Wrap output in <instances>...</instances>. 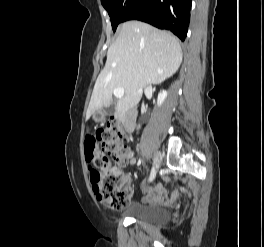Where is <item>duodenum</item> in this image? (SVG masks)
I'll use <instances>...</instances> for the list:
<instances>
[{"instance_id":"1","label":"duodenum","mask_w":264,"mask_h":247,"mask_svg":"<svg viewBox=\"0 0 264 247\" xmlns=\"http://www.w3.org/2000/svg\"><path fill=\"white\" fill-rule=\"evenodd\" d=\"M135 120H136V110L134 108L128 109L120 117V121L122 125L128 132L133 131L135 126Z\"/></svg>"}]
</instances>
